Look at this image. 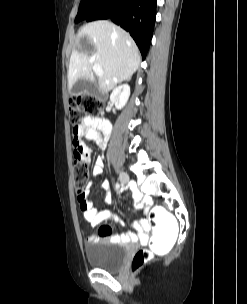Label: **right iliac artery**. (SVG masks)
<instances>
[{"instance_id": "obj_1", "label": "right iliac artery", "mask_w": 247, "mask_h": 304, "mask_svg": "<svg viewBox=\"0 0 247 304\" xmlns=\"http://www.w3.org/2000/svg\"><path fill=\"white\" fill-rule=\"evenodd\" d=\"M120 185H119V183H116V185H115V189L118 191V187H119Z\"/></svg>"}]
</instances>
